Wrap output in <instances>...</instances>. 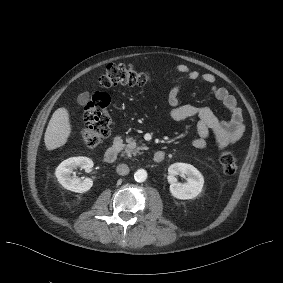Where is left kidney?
Instances as JSON below:
<instances>
[{
  "mask_svg": "<svg viewBox=\"0 0 283 283\" xmlns=\"http://www.w3.org/2000/svg\"><path fill=\"white\" fill-rule=\"evenodd\" d=\"M168 182L173 197L181 200L193 199L198 196L204 185V178L200 171L191 164L174 163L168 168ZM182 175L186 182L181 184L176 176Z\"/></svg>",
  "mask_w": 283,
  "mask_h": 283,
  "instance_id": "1",
  "label": "left kidney"
}]
</instances>
